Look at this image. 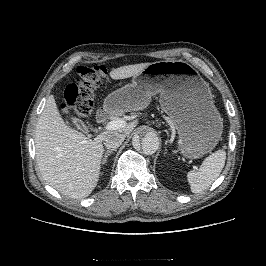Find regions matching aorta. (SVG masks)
<instances>
[{"mask_svg": "<svg viewBox=\"0 0 266 266\" xmlns=\"http://www.w3.org/2000/svg\"><path fill=\"white\" fill-rule=\"evenodd\" d=\"M159 144L158 135L150 129L140 131L137 139L133 141V146L138 147L140 145L146 155L154 154L158 150Z\"/></svg>", "mask_w": 266, "mask_h": 266, "instance_id": "762f6f07", "label": "aorta"}]
</instances>
